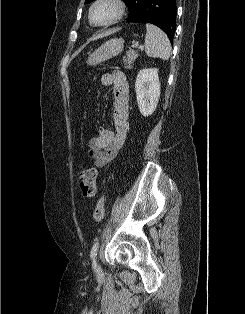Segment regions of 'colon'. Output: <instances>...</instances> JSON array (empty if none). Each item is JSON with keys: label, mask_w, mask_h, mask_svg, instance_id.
I'll return each instance as SVG.
<instances>
[{"label": "colon", "mask_w": 245, "mask_h": 314, "mask_svg": "<svg viewBox=\"0 0 245 314\" xmlns=\"http://www.w3.org/2000/svg\"><path fill=\"white\" fill-rule=\"evenodd\" d=\"M97 171L93 166H86L80 176V189L85 197H92L96 191ZM106 197L103 195L97 202L94 218L97 222H101L105 212Z\"/></svg>", "instance_id": "obj_1"}]
</instances>
